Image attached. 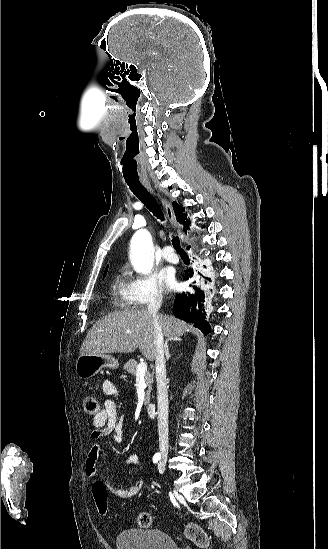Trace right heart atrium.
<instances>
[{
	"instance_id": "1",
	"label": "right heart atrium",
	"mask_w": 328,
	"mask_h": 549,
	"mask_svg": "<svg viewBox=\"0 0 328 549\" xmlns=\"http://www.w3.org/2000/svg\"><path fill=\"white\" fill-rule=\"evenodd\" d=\"M128 285L131 294L139 303H161L163 292L158 283L157 275L150 271L143 275L128 272Z\"/></svg>"
}]
</instances>
